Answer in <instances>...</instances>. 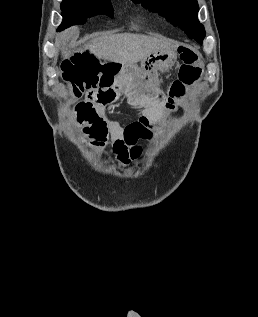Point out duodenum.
I'll return each instance as SVG.
<instances>
[{"instance_id": "410a0bca", "label": "duodenum", "mask_w": 258, "mask_h": 317, "mask_svg": "<svg viewBox=\"0 0 258 317\" xmlns=\"http://www.w3.org/2000/svg\"><path fill=\"white\" fill-rule=\"evenodd\" d=\"M132 77L133 69L123 68L111 81L90 89L86 95V100L99 108L113 104L121 98L124 91L131 85Z\"/></svg>"}]
</instances>
